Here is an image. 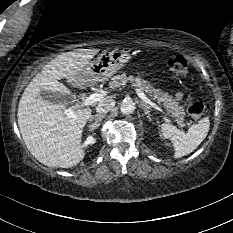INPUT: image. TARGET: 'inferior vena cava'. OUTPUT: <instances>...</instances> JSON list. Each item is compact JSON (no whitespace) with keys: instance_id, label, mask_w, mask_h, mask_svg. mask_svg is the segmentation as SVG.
Returning a JSON list of instances; mask_svg holds the SVG:
<instances>
[{"instance_id":"obj_1","label":"inferior vena cava","mask_w":233,"mask_h":233,"mask_svg":"<svg viewBox=\"0 0 233 233\" xmlns=\"http://www.w3.org/2000/svg\"><path fill=\"white\" fill-rule=\"evenodd\" d=\"M114 105L115 102L112 99H105L97 105L96 112L107 113L114 107Z\"/></svg>"}]
</instances>
